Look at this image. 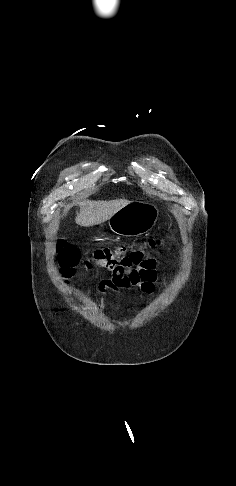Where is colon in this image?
Returning a JSON list of instances; mask_svg holds the SVG:
<instances>
[{
  "label": "colon",
  "instance_id": "5ec220e1",
  "mask_svg": "<svg viewBox=\"0 0 236 486\" xmlns=\"http://www.w3.org/2000/svg\"><path fill=\"white\" fill-rule=\"evenodd\" d=\"M150 245H155V241H150ZM140 255H142L141 252L129 250L126 247H105L96 250L93 256L85 261V267L89 270L96 267L115 270L124 261ZM78 262L79 252L76 247L65 243L58 245V263L64 276H71Z\"/></svg>",
  "mask_w": 236,
  "mask_h": 486
}]
</instances>
